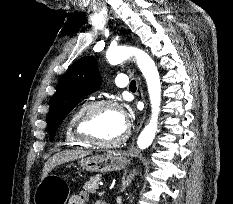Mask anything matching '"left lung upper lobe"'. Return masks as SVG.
Returning a JSON list of instances; mask_svg holds the SVG:
<instances>
[{
	"label": "left lung upper lobe",
	"mask_w": 233,
	"mask_h": 204,
	"mask_svg": "<svg viewBox=\"0 0 233 204\" xmlns=\"http://www.w3.org/2000/svg\"><path fill=\"white\" fill-rule=\"evenodd\" d=\"M101 85L97 61L93 56L74 62L62 77L54 94L48 115L50 140L65 117L83 97L95 92Z\"/></svg>",
	"instance_id": "obj_1"
}]
</instances>
